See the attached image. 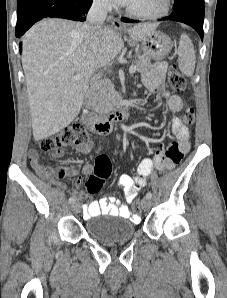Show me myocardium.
Instances as JSON below:
<instances>
[{"instance_id": "1", "label": "myocardium", "mask_w": 227, "mask_h": 298, "mask_svg": "<svg viewBox=\"0 0 227 298\" xmlns=\"http://www.w3.org/2000/svg\"><path fill=\"white\" fill-rule=\"evenodd\" d=\"M170 7H171V0H163L162 7L156 12L143 13V12L134 11L128 7L125 9V12L130 17H133L136 19L157 20V19L165 17L169 13Z\"/></svg>"}]
</instances>
